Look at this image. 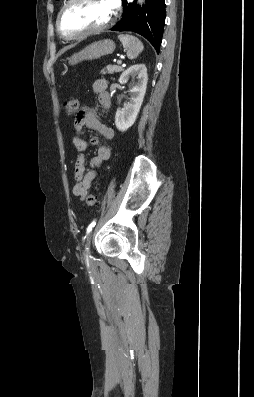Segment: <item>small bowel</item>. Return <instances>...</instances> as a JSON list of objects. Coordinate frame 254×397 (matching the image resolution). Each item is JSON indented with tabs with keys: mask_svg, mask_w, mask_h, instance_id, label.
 <instances>
[{
	"mask_svg": "<svg viewBox=\"0 0 254 397\" xmlns=\"http://www.w3.org/2000/svg\"><path fill=\"white\" fill-rule=\"evenodd\" d=\"M93 90L98 95L100 105L104 109L111 107V97L107 91L108 81L105 79H97L93 83ZM75 134L72 137L73 146L80 152L75 162L74 179L75 184L72 188L74 196L83 200L87 191L91 187L97 175V170L102 166L103 162L111 156L110 146L101 141L98 137L91 138L90 142H86L82 136L83 130L89 128L100 133L105 139H112L114 131L112 128L100 122L96 110L89 105L83 106L78 112L74 120ZM97 147V154L91 159L89 167H86L85 152L88 146Z\"/></svg>",
	"mask_w": 254,
	"mask_h": 397,
	"instance_id": "1",
	"label": "small bowel"
}]
</instances>
